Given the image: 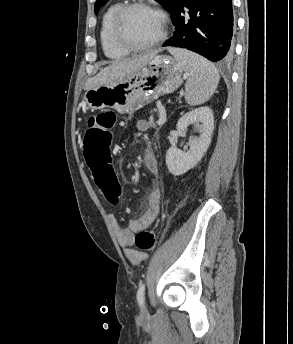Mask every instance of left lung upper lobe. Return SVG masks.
<instances>
[{"label": "left lung upper lobe", "mask_w": 293, "mask_h": 344, "mask_svg": "<svg viewBox=\"0 0 293 344\" xmlns=\"http://www.w3.org/2000/svg\"><path fill=\"white\" fill-rule=\"evenodd\" d=\"M109 0H96L95 13L97 14L99 9L105 5ZM160 3L172 16L175 14L178 3L180 0H155Z\"/></svg>", "instance_id": "1"}]
</instances>
